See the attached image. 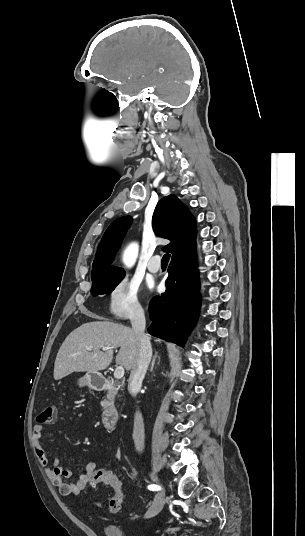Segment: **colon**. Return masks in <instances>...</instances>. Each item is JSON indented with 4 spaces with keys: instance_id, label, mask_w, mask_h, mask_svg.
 <instances>
[{
    "instance_id": "obj_1",
    "label": "colon",
    "mask_w": 305,
    "mask_h": 536,
    "mask_svg": "<svg viewBox=\"0 0 305 536\" xmlns=\"http://www.w3.org/2000/svg\"><path fill=\"white\" fill-rule=\"evenodd\" d=\"M57 406L48 405L43 411H37L36 420L37 422L49 423L56 418L57 415ZM91 474L93 477H88V480L85 484L87 490L92 491L96 486L101 485H112V496L109 500V511L116 513L119 512L124 501V493L120 481L116 475H112L108 478L110 471L108 468H98L95 467L92 469Z\"/></svg>"
}]
</instances>
